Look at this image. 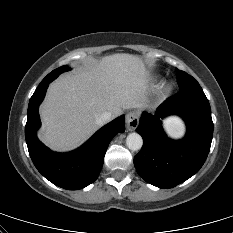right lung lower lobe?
<instances>
[{
	"mask_svg": "<svg viewBox=\"0 0 233 233\" xmlns=\"http://www.w3.org/2000/svg\"><path fill=\"white\" fill-rule=\"evenodd\" d=\"M49 83L37 87L29 102L25 126L28 151L35 167L50 182L68 190L82 189L97 179L110 141L116 134L125 131V117L102 127L77 150L54 153L36 136L40 127L38 108Z\"/></svg>",
	"mask_w": 233,
	"mask_h": 233,
	"instance_id": "obj_1",
	"label": "right lung lower lobe"
}]
</instances>
